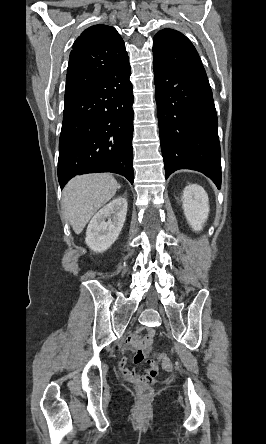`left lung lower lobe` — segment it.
<instances>
[{
  "instance_id": "left-lung-lower-lobe-1",
  "label": "left lung lower lobe",
  "mask_w": 266,
  "mask_h": 444,
  "mask_svg": "<svg viewBox=\"0 0 266 444\" xmlns=\"http://www.w3.org/2000/svg\"><path fill=\"white\" fill-rule=\"evenodd\" d=\"M159 134L166 178L202 172L221 188L218 120L206 73L183 72L154 59Z\"/></svg>"
}]
</instances>
